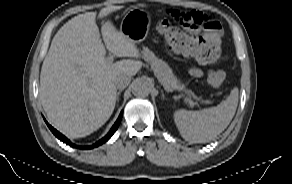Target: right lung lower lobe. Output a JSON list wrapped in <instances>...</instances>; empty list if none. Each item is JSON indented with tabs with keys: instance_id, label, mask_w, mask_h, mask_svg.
Here are the masks:
<instances>
[{
	"instance_id": "98d812e1",
	"label": "right lung lower lobe",
	"mask_w": 292,
	"mask_h": 184,
	"mask_svg": "<svg viewBox=\"0 0 292 184\" xmlns=\"http://www.w3.org/2000/svg\"><path fill=\"white\" fill-rule=\"evenodd\" d=\"M122 115H123V111H121L117 121L115 122V124L113 125V127L111 128V130L109 131V133L102 138L101 140L97 141L96 143H94L93 145L90 146H86V147H81L82 149H92L95 147L100 146L101 144L105 143L106 141H108L110 139V137L115 133V131L117 130V128L120 125L121 119H122ZM46 124L48 125V127L50 128V130L52 131V133L61 141H63L64 143H66L67 145H70L71 147L74 148H78L79 146L73 144L70 142V140H68L64 135H62L61 133H59L56 129H54L51 125H49L47 123V121H45Z\"/></svg>"
}]
</instances>
